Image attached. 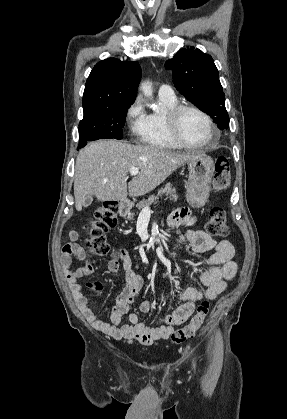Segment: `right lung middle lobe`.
Masks as SVG:
<instances>
[{
  "label": "right lung middle lobe",
  "mask_w": 287,
  "mask_h": 419,
  "mask_svg": "<svg viewBox=\"0 0 287 419\" xmlns=\"http://www.w3.org/2000/svg\"><path fill=\"white\" fill-rule=\"evenodd\" d=\"M132 103L102 107L84 113L79 123V148L88 141L114 138L122 139L127 109Z\"/></svg>",
  "instance_id": "dd1d6c3e"
}]
</instances>
